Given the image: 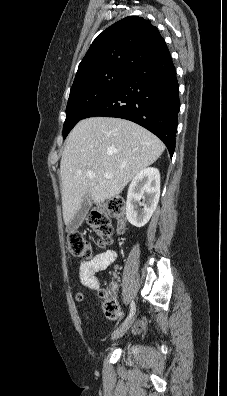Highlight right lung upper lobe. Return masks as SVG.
I'll list each match as a JSON object with an SVG mask.
<instances>
[{"label":"right lung upper lobe","mask_w":227,"mask_h":396,"mask_svg":"<svg viewBox=\"0 0 227 396\" xmlns=\"http://www.w3.org/2000/svg\"><path fill=\"white\" fill-rule=\"evenodd\" d=\"M164 47V39L149 20L126 17L108 27L93 41L79 64L73 84L112 68L133 70Z\"/></svg>","instance_id":"1"}]
</instances>
